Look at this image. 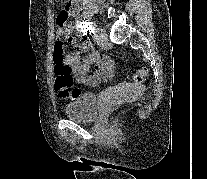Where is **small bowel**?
I'll return each mask as SVG.
<instances>
[{
    "label": "small bowel",
    "mask_w": 207,
    "mask_h": 179,
    "mask_svg": "<svg viewBox=\"0 0 207 179\" xmlns=\"http://www.w3.org/2000/svg\"><path fill=\"white\" fill-rule=\"evenodd\" d=\"M82 5V0H68L66 6L59 12L57 23V35L65 36L74 43V51L66 56V62L76 78V81L84 86L97 87L102 82L109 80L114 73V63L111 57L100 55L94 51L91 43H78L72 36L73 26L68 24V18L78 17ZM81 21H77L78 28H84ZM82 49L92 50L84 59H80Z\"/></svg>",
    "instance_id": "obj_1"
}]
</instances>
